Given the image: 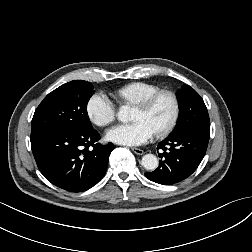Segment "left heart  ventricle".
<instances>
[{
  "mask_svg": "<svg viewBox=\"0 0 252 252\" xmlns=\"http://www.w3.org/2000/svg\"><path fill=\"white\" fill-rule=\"evenodd\" d=\"M172 105L168 98L159 99L149 111H143L136 107L133 120H143L148 123L154 131L163 127L170 118Z\"/></svg>",
  "mask_w": 252,
  "mask_h": 252,
  "instance_id": "1",
  "label": "left heart ventricle"
}]
</instances>
